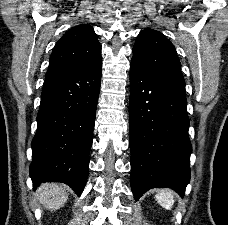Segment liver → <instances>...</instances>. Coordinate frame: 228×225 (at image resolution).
<instances>
[{"mask_svg":"<svg viewBox=\"0 0 228 225\" xmlns=\"http://www.w3.org/2000/svg\"><path fill=\"white\" fill-rule=\"evenodd\" d=\"M36 197L47 211H57L68 201L67 187L61 183H43L39 187Z\"/></svg>","mask_w":228,"mask_h":225,"instance_id":"1","label":"liver"}]
</instances>
